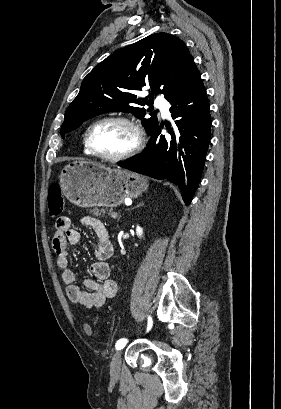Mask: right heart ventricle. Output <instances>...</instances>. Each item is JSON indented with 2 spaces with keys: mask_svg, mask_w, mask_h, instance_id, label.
Segmentation results:
<instances>
[{
  "mask_svg": "<svg viewBox=\"0 0 281 409\" xmlns=\"http://www.w3.org/2000/svg\"><path fill=\"white\" fill-rule=\"evenodd\" d=\"M93 125H94V123L90 124L87 127L86 132L84 134V138H83V152H84L85 155H89V156L93 155L91 150H90V147H89V135H90V132H91V129H92Z\"/></svg>",
  "mask_w": 281,
  "mask_h": 409,
  "instance_id": "right-heart-ventricle-1",
  "label": "right heart ventricle"
}]
</instances>
